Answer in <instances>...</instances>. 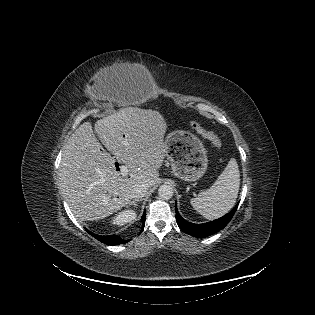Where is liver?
Wrapping results in <instances>:
<instances>
[{
    "label": "liver",
    "instance_id": "obj_1",
    "mask_svg": "<svg viewBox=\"0 0 315 315\" xmlns=\"http://www.w3.org/2000/svg\"><path fill=\"white\" fill-rule=\"evenodd\" d=\"M120 69L135 71L137 66L126 64ZM94 129L114 157L101 146L92 124L84 122L69 137L61 160L63 196L80 221L117 212L130 202L133 188L142 182L155 186L168 151L166 121L152 109L123 108L98 120ZM114 158L128 167V175L116 171Z\"/></svg>",
    "mask_w": 315,
    "mask_h": 315
}]
</instances>
